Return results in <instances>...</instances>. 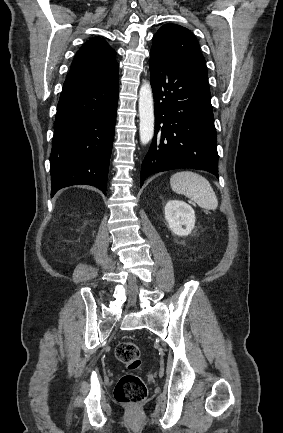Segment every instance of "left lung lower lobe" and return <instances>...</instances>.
Returning <instances> with one entry per match:
<instances>
[{
    "label": "left lung lower lobe",
    "instance_id": "obj_1",
    "mask_svg": "<svg viewBox=\"0 0 283 433\" xmlns=\"http://www.w3.org/2000/svg\"><path fill=\"white\" fill-rule=\"evenodd\" d=\"M155 135L141 167L145 178L171 169L206 170L218 178L216 129L206 105V78L195 69L150 52Z\"/></svg>",
    "mask_w": 283,
    "mask_h": 433
}]
</instances>
